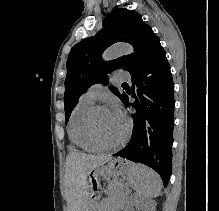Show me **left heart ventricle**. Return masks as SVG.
I'll return each instance as SVG.
<instances>
[{
  "mask_svg": "<svg viewBox=\"0 0 219 211\" xmlns=\"http://www.w3.org/2000/svg\"><path fill=\"white\" fill-rule=\"evenodd\" d=\"M96 126L102 137L115 142L123 135L126 124L117 121L108 108H103L96 115Z\"/></svg>",
  "mask_w": 219,
  "mask_h": 211,
  "instance_id": "left-heart-ventricle-1",
  "label": "left heart ventricle"
}]
</instances>
